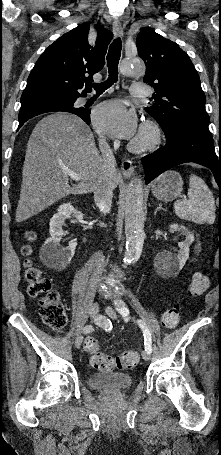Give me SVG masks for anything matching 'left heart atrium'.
I'll return each mask as SVG.
<instances>
[{
    "instance_id": "39dd6f15",
    "label": "left heart atrium",
    "mask_w": 221,
    "mask_h": 455,
    "mask_svg": "<svg viewBox=\"0 0 221 455\" xmlns=\"http://www.w3.org/2000/svg\"><path fill=\"white\" fill-rule=\"evenodd\" d=\"M95 127L111 136L129 139L137 133V116L121 101H110L98 106L93 113Z\"/></svg>"
}]
</instances>
